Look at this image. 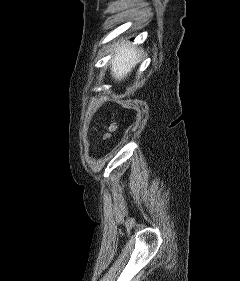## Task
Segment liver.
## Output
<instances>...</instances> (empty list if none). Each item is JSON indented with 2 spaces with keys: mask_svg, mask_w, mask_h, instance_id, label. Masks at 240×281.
Returning a JSON list of instances; mask_svg holds the SVG:
<instances>
[{
  "mask_svg": "<svg viewBox=\"0 0 240 281\" xmlns=\"http://www.w3.org/2000/svg\"><path fill=\"white\" fill-rule=\"evenodd\" d=\"M123 46V45H122ZM121 46H118L119 49ZM141 51L136 47L120 50L110 61L111 75L115 80L124 79L141 60Z\"/></svg>",
  "mask_w": 240,
  "mask_h": 281,
  "instance_id": "6515ba94",
  "label": "liver"
}]
</instances>
